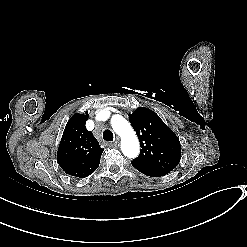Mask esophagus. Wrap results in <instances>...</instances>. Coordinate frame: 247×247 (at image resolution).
Here are the masks:
<instances>
[{
    "label": "esophagus",
    "mask_w": 247,
    "mask_h": 247,
    "mask_svg": "<svg viewBox=\"0 0 247 247\" xmlns=\"http://www.w3.org/2000/svg\"><path fill=\"white\" fill-rule=\"evenodd\" d=\"M119 145V141H116L115 143L111 144V146H118Z\"/></svg>",
    "instance_id": "34e87169"
}]
</instances>
